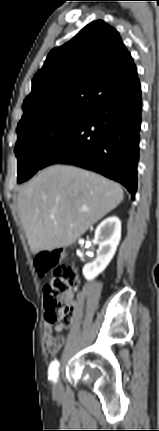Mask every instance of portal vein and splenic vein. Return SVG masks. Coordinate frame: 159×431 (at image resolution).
Returning <instances> with one entry per match:
<instances>
[{
    "label": "portal vein and splenic vein",
    "mask_w": 159,
    "mask_h": 431,
    "mask_svg": "<svg viewBox=\"0 0 159 431\" xmlns=\"http://www.w3.org/2000/svg\"><path fill=\"white\" fill-rule=\"evenodd\" d=\"M81 211H82V212H87V211H88V208H82V209H81ZM50 218H51V219H54V215H53V214H51V215H50Z\"/></svg>",
    "instance_id": "1"
}]
</instances>
